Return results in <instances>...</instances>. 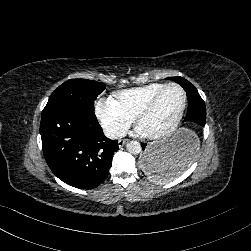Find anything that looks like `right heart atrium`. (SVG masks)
Returning a JSON list of instances; mask_svg holds the SVG:
<instances>
[{
  "label": "right heart atrium",
  "mask_w": 251,
  "mask_h": 251,
  "mask_svg": "<svg viewBox=\"0 0 251 251\" xmlns=\"http://www.w3.org/2000/svg\"><path fill=\"white\" fill-rule=\"evenodd\" d=\"M94 112L111 138L123 136L130 125L136 121V115L127 111L114 95L97 98L94 103Z\"/></svg>",
  "instance_id": "1"
}]
</instances>
